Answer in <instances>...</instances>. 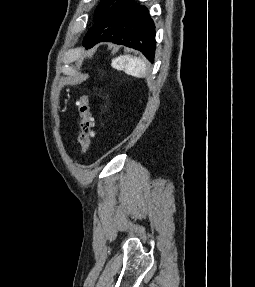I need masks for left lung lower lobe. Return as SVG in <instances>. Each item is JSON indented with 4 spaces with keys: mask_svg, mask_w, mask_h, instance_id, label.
I'll list each match as a JSON object with an SVG mask.
<instances>
[{
    "mask_svg": "<svg viewBox=\"0 0 255 287\" xmlns=\"http://www.w3.org/2000/svg\"><path fill=\"white\" fill-rule=\"evenodd\" d=\"M111 41L143 52L153 62L155 26L148 10L134 0H116L87 32L83 45Z\"/></svg>",
    "mask_w": 255,
    "mask_h": 287,
    "instance_id": "obj_1",
    "label": "left lung lower lobe"
}]
</instances>
